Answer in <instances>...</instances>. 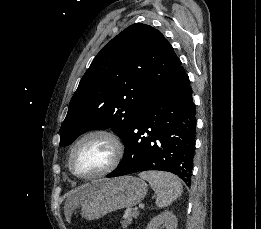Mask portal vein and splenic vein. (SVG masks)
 <instances>
[{"mask_svg": "<svg viewBox=\"0 0 261 229\" xmlns=\"http://www.w3.org/2000/svg\"><path fill=\"white\" fill-rule=\"evenodd\" d=\"M145 207H146V204H145V203H140V204H139V208H138V207H135L134 210H133V213L138 214V213H139V209H140V210H144ZM124 219H127V215H124Z\"/></svg>", "mask_w": 261, "mask_h": 229, "instance_id": "1", "label": "portal vein and splenic vein"}]
</instances>
